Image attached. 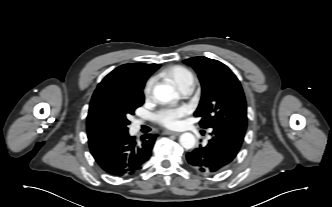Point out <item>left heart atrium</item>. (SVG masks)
<instances>
[{
    "label": "left heart atrium",
    "instance_id": "1",
    "mask_svg": "<svg viewBox=\"0 0 332 207\" xmlns=\"http://www.w3.org/2000/svg\"><path fill=\"white\" fill-rule=\"evenodd\" d=\"M187 107L165 108L160 110L155 118L159 124L167 128H177L181 119L188 114Z\"/></svg>",
    "mask_w": 332,
    "mask_h": 207
}]
</instances>
